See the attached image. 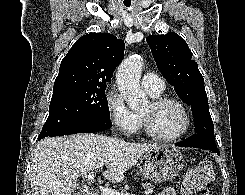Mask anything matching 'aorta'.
I'll return each instance as SVG.
<instances>
[{"label":"aorta","mask_w":245,"mask_h":195,"mask_svg":"<svg viewBox=\"0 0 245 195\" xmlns=\"http://www.w3.org/2000/svg\"><path fill=\"white\" fill-rule=\"evenodd\" d=\"M142 66V57L134 54L123 60L116 73L118 89L132 110H139L148 103L140 86Z\"/></svg>","instance_id":"obj_1"}]
</instances>
